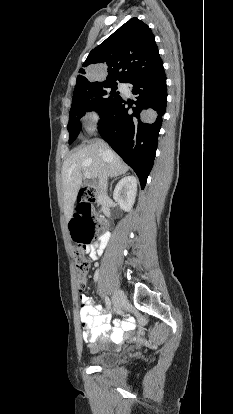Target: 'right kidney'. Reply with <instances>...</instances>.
<instances>
[{
  "label": "right kidney",
  "mask_w": 233,
  "mask_h": 414,
  "mask_svg": "<svg viewBox=\"0 0 233 414\" xmlns=\"http://www.w3.org/2000/svg\"><path fill=\"white\" fill-rule=\"evenodd\" d=\"M137 194V180L134 176H126L122 178L116 185L113 193V199L120 208L126 212H130Z\"/></svg>",
  "instance_id": "right-kidney-1"
}]
</instances>
